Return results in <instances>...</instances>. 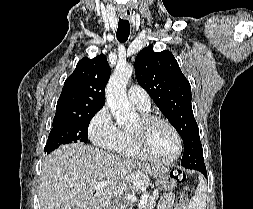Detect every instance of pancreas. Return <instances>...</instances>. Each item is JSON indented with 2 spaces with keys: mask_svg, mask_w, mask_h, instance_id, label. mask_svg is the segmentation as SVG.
Instances as JSON below:
<instances>
[{
  "mask_svg": "<svg viewBox=\"0 0 253 209\" xmlns=\"http://www.w3.org/2000/svg\"><path fill=\"white\" fill-rule=\"evenodd\" d=\"M158 198V194H147L146 204L143 206V209H153L156 205V200Z\"/></svg>",
  "mask_w": 253,
  "mask_h": 209,
  "instance_id": "obj_1",
  "label": "pancreas"
}]
</instances>
